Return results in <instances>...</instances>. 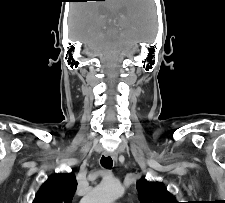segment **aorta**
<instances>
[{"label": "aorta", "mask_w": 225, "mask_h": 203, "mask_svg": "<svg viewBox=\"0 0 225 203\" xmlns=\"http://www.w3.org/2000/svg\"><path fill=\"white\" fill-rule=\"evenodd\" d=\"M124 193V188L116 180L103 181L93 188L80 203H113Z\"/></svg>", "instance_id": "aorta-1"}]
</instances>
